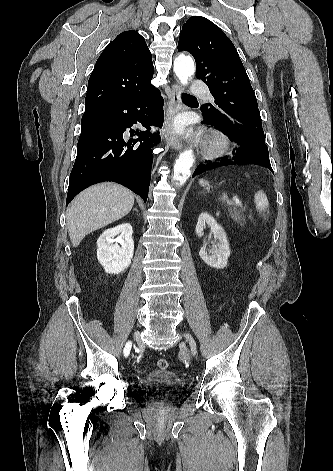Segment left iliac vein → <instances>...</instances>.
<instances>
[{"label":"left iliac vein","instance_id":"1","mask_svg":"<svg viewBox=\"0 0 333 471\" xmlns=\"http://www.w3.org/2000/svg\"><path fill=\"white\" fill-rule=\"evenodd\" d=\"M184 336H185L186 340L189 342L192 355H196V353H197V348H196V342H195V340H194L193 337H192L190 334H188V333H186Z\"/></svg>","mask_w":333,"mask_h":471}]
</instances>
